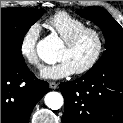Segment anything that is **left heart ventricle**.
Instances as JSON below:
<instances>
[{
  "label": "left heart ventricle",
  "instance_id": "obj_1",
  "mask_svg": "<svg viewBox=\"0 0 123 123\" xmlns=\"http://www.w3.org/2000/svg\"><path fill=\"white\" fill-rule=\"evenodd\" d=\"M96 50V39L92 34L83 36L73 47L63 45L57 55V60L68 61L75 70L85 66Z\"/></svg>",
  "mask_w": 123,
  "mask_h": 123
}]
</instances>
